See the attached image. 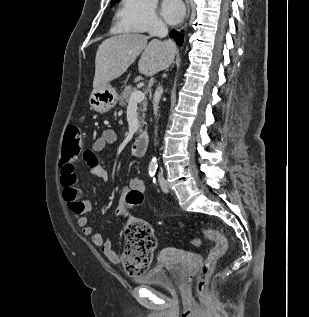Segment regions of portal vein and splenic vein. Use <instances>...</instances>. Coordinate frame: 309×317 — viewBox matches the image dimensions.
<instances>
[{
	"label": "portal vein and splenic vein",
	"instance_id": "obj_1",
	"mask_svg": "<svg viewBox=\"0 0 309 317\" xmlns=\"http://www.w3.org/2000/svg\"><path fill=\"white\" fill-rule=\"evenodd\" d=\"M145 95L142 91L140 90H135L131 96H130V100H129V106L132 105H136L137 103H140L144 100Z\"/></svg>",
	"mask_w": 309,
	"mask_h": 317
}]
</instances>
